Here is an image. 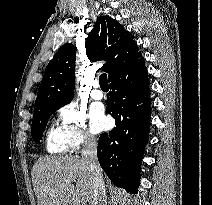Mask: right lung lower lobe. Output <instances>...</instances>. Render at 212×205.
<instances>
[{"instance_id":"right-lung-lower-lobe-1","label":"right lung lower lobe","mask_w":212,"mask_h":205,"mask_svg":"<svg viewBox=\"0 0 212 205\" xmlns=\"http://www.w3.org/2000/svg\"><path fill=\"white\" fill-rule=\"evenodd\" d=\"M107 112L116 121L98 141L97 155L110 180L128 192H138L140 166L149 136L150 84L143 56L109 78Z\"/></svg>"}]
</instances>
